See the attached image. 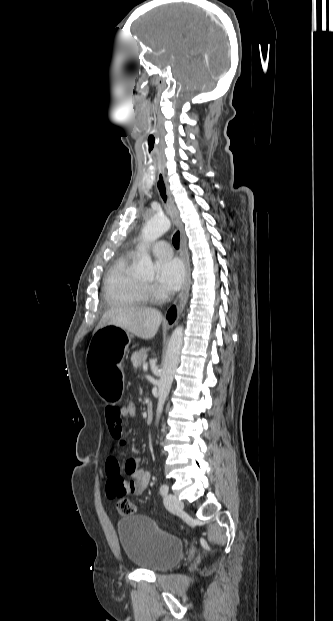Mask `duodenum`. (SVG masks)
Wrapping results in <instances>:
<instances>
[{
  "label": "duodenum",
  "instance_id": "duodenum-1",
  "mask_svg": "<svg viewBox=\"0 0 333 621\" xmlns=\"http://www.w3.org/2000/svg\"><path fill=\"white\" fill-rule=\"evenodd\" d=\"M152 419H153V409H152V407L149 405V406L147 407L146 421H147V422H151V421H152Z\"/></svg>",
  "mask_w": 333,
  "mask_h": 621
}]
</instances>
